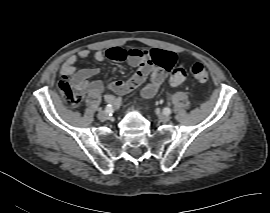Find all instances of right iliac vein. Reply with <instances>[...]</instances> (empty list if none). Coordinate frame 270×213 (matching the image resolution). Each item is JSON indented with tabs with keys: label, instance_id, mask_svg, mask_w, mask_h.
Returning <instances> with one entry per match:
<instances>
[{
	"label": "right iliac vein",
	"instance_id": "obj_1",
	"mask_svg": "<svg viewBox=\"0 0 270 213\" xmlns=\"http://www.w3.org/2000/svg\"><path fill=\"white\" fill-rule=\"evenodd\" d=\"M109 118V114L106 110H102L98 113V119L100 121H105Z\"/></svg>",
	"mask_w": 270,
	"mask_h": 213
}]
</instances>
